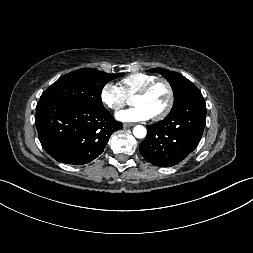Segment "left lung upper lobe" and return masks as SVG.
Wrapping results in <instances>:
<instances>
[{
  "instance_id": "1",
  "label": "left lung upper lobe",
  "mask_w": 253,
  "mask_h": 253,
  "mask_svg": "<svg viewBox=\"0 0 253 253\" xmlns=\"http://www.w3.org/2000/svg\"><path fill=\"white\" fill-rule=\"evenodd\" d=\"M148 72H157L164 76L170 83L174 93V105L171 111L184 102L188 94L197 87L182 74L163 68H154Z\"/></svg>"
}]
</instances>
